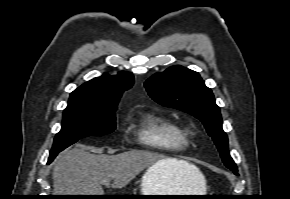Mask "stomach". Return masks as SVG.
<instances>
[{
  "instance_id": "stomach-1",
  "label": "stomach",
  "mask_w": 290,
  "mask_h": 199,
  "mask_svg": "<svg viewBox=\"0 0 290 199\" xmlns=\"http://www.w3.org/2000/svg\"><path fill=\"white\" fill-rule=\"evenodd\" d=\"M181 180L178 176L167 173L159 164L149 167L141 179V195H203L205 192V178L201 172L197 173L193 183V190L178 193ZM157 199H195L194 197H145Z\"/></svg>"
}]
</instances>
